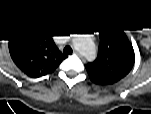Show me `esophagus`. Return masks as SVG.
Segmentation results:
<instances>
[{"label":"esophagus","mask_w":151,"mask_h":114,"mask_svg":"<svg viewBox=\"0 0 151 114\" xmlns=\"http://www.w3.org/2000/svg\"><path fill=\"white\" fill-rule=\"evenodd\" d=\"M74 54H77V55H79L81 57V55L79 54L78 51H74Z\"/></svg>","instance_id":"1"}]
</instances>
